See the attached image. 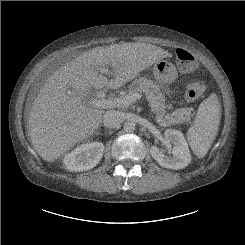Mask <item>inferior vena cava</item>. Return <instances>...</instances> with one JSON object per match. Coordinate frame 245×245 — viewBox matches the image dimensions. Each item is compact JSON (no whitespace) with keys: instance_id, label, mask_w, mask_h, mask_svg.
Wrapping results in <instances>:
<instances>
[{"instance_id":"obj_1","label":"inferior vena cava","mask_w":245,"mask_h":245,"mask_svg":"<svg viewBox=\"0 0 245 245\" xmlns=\"http://www.w3.org/2000/svg\"><path fill=\"white\" fill-rule=\"evenodd\" d=\"M123 121V117L119 111L109 110L103 116V124L105 127L114 128L120 125Z\"/></svg>"}]
</instances>
